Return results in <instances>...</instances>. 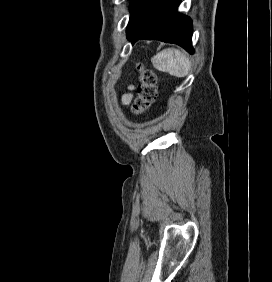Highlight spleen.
Masks as SVG:
<instances>
[{
  "label": "spleen",
  "instance_id": "obj_1",
  "mask_svg": "<svg viewBox=\"0 0 272 282\" xmlns=\"http://www.w3.org/2000/svg\"><path fill=\"white\" fill-rule=\"evenodd\" d=\"M151 62L157 70L169 73L175 77H185L191 67V63L186 55L174 48L162 50L151 58Z\"/></svg>",
  "mask_w": 272,
  "mask_h": 282
}]
</instances>
